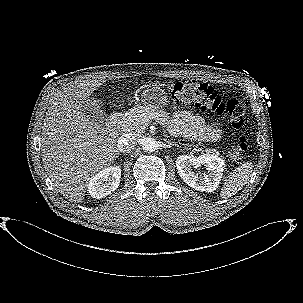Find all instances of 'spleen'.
<instances>
[{
  "instance_id": "obj_1",
  "label": "spleen",
  "mask_w": 303,
  "mask_h": 303,
  "mask_svg": "<svg viewBox=\"0 0 303 303\" xmlns=\"http://www.w3.org/2000/svg\"><path fill=\"white\" fill-rule=\"evenodd\" d=\"M252 168L253 166L251 162H245L233 170L224 181L220 197L222 199H226L240 191L248 182Z\"/></svg>"
}]
</instances>
